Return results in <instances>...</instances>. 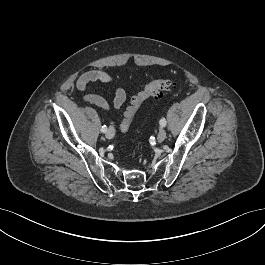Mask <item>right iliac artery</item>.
<instances>
[{"label":"right iliac artery","mask_w":265,"mask_h":265,"mask_svg":"<svg viewBox=\"0 0 265 265\" xmlns=\"http://www.w3.org/2000/svg\"><path fill=\"white\" fill-rule=\"evenodd\" d=\"M101 132H103V133H106V132H107V127H106V125H104V126L101 127Z\"/></svg>","instance_id":"obj_1"}]
</instances>
